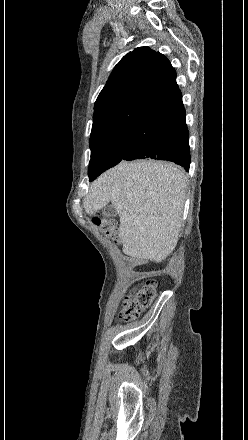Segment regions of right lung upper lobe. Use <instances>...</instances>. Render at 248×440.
Listing matches in <instances>:
<instances>
[{
    "label": "right lung upper lobe",
    "mask_w": 248,
    "mask_h": 440,
    "mask_svg": "<svg viewBox=\"0 0 248 440\" xmlns=\"http://www.w3.org/2000/svg\"><path fill=\"white\" fill-rule=\"evenodd\" d=\"M181 98L168 59L149 47L136 48L115 66L95 102L90 146Z\"/></svg>",
    "instance_id": "right-lung-upper-lobe-1"
}]
</instances>
